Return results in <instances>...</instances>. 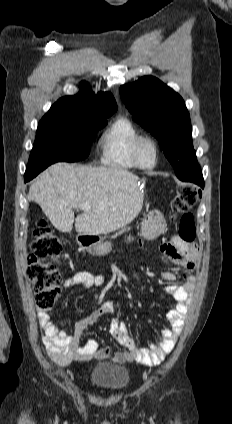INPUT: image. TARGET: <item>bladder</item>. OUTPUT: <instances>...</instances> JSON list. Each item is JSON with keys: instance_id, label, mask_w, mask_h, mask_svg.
I'll return each instance as SVG.
<instances>
[{"instance_id": "bladder-1", "label": "bladder", "mask_w": 232, "mask_h": 424, "mask_svg": "<svg viewBox=\"0 0 232 424\" xmlns=\"http://www.w3.org/2000/svg\"><path fill=\"white\" fill-rule=\"evenodd\" d=\"M130 381V372L126 366L105 362L93 365L89 372V382L95 387L109 392L124 390Z\"/></svg>"}]
</instances>
